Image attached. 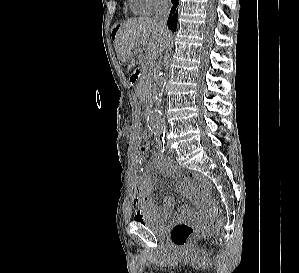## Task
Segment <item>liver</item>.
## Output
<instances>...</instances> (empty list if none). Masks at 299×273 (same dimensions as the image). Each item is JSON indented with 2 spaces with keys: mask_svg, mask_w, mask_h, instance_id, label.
Masks as SVG:
<instances>
[{
  "mask_svg": "<svg viewBox=\"0 0 299 273\" xmlns=\"http://www.w3.org/2000/svg\"><path fill=\"white\" fill-rule=\"evenodd\" d=\"M170 41L169 30H163L155 19L135 18L121 24L115 36L114 47L122 63L134 58L147 47L146 57L158 58Z\"/></svg>",
  "mask_w": 299,
  "mask_h": 273,
  "instance_id": "obj_1",
  "label": "liver"
}]
</instances>
